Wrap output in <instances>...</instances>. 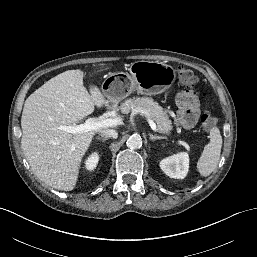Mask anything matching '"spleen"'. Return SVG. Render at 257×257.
I'll return each instance as SVG.
<instances>
[{"mask_svg": "<svg viewBox=\"0 0 257 257\" xmlns=\"http://www.w3.org/2000/svg\"><path fill=\"white\" fill-rule=\"evenodd\" d=\"M209 138L210 142L204 147L197 162V170L203 177L209 176L216 169L222 148V137L217 127L210 130Z\"/></svg>", "mask_w": 257, "mask_h": 257, "instance_id": "obj_1", "label": "spleen"}]
</instances>
